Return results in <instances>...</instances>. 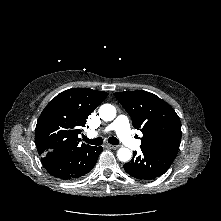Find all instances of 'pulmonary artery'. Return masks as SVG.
Returning a JSON list of instances; mask_svg holds the SVG:
<instances>
[{
	"mask_svg": "<svg viewBox=\"0 0 221 221\" xmlns=\"http://www.w3.org/2000/svg\"><path fill=\"white\" fill-rule=\"evenodd\" d=\"M110 130H114L126 146L134 149L140 146V142L132 136L129 128V121L125 116H118L105 130L89 131L87 135L93 138Z\"/></svg>",
	"mask_w": 221,
	"mask_h": 221,
	"instance_id": "pulmonary-artery-1",
	"label": "pulmonary artery"
}]
</instances>
